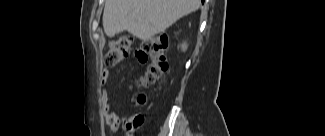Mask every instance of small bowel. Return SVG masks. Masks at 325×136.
I'll list each match as a JSON object with an SVG mask.
<instances>
[{
  "mask_svg": "<svg viewBox=\"0 0 325 136\" xmlns=\"http://www.w3.org/2000/svg\"><path fill=\"white\" fill-rule=\"evenodd\" d=\"M130 48L131 51L134 52V58L137 61V64H147L148 55L145 53L144 44H131ZM109 76L110 71L108 69H104L102 71V84L104 86L108 85ZM130 78H133V75H130ZM141 98H143V101L140 100ZM145 101L146 98L144 96H140L138 98V104L140 105H143ZM102 109L106 123L112 131H117L120 127H123L126 131L131 132L144 122V116L142 114H136L125 119L120 118L113 111L107 93H104L102 96Z\"/></svg>",
  "mask_w": 325,
  "mask_h": 136,
  "instance_id": "c3829d8e",
  "label": "small bowel"
}]
</instances>
